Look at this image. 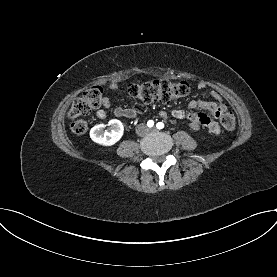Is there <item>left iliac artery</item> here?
<instances>
[{"label": "left iliac artery", "mask_w": 277, "mask_h": 277, "mask_svg": "<svg viewBox=\"0 0 277 277\" xmlns=\"http://www.w3.org/2000/svg\"><path fill=\"white\" fill-rule=\"evenodd\" d=\"M156 127H157L158 129H162V128H164V123H163V122H158L157 125H156Z\"/></svg>", "instance_id": "obj_1"}]
</instances>
